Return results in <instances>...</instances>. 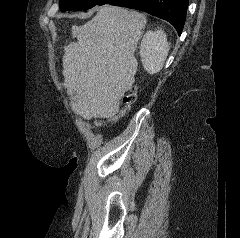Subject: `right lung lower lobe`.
<instances>
[{
	"label": "right lung lower lobe",
	"instance_id": "obj_1",
	"mask_svg": "<svg viewBox=\"0 0 240 238\" xmlns=\"http://www.w3.org/2000/svg\"><path fill=\"white\" fill-rule=\"evenodd\" d=\"M189 0H113L109 4L144 11L170 22L182 33Z\"/></svg>",
	"mask_w": 240,
	"mask_h": 238
}]
</instances>
